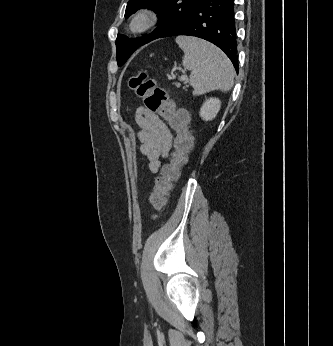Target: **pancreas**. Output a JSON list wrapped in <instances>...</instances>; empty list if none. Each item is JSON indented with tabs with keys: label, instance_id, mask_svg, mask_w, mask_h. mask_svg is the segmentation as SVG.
I'll list each match as a JSON object with an SVG mask.
<instances>
[{
	"label": "pancreas",
	"instance_id": "obj_1",
	"mask_svg": "<svg viewBox=\"0 0 333 346\" xmlns=\"http://www.w3.org/2000/svg\"><path fill=\"white\" fill-rule=\"evenodd\" d=\"M185 79H184V77H181V81H184Z\"/></svg>",
	"mask_w": 333,
	"mask_h": 346
}]
</instances>
